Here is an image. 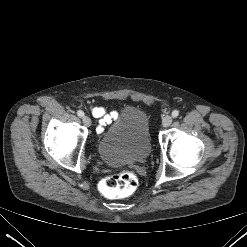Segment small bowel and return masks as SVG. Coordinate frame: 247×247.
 Instances as JSON below:
<instances>
[{"label": "small bowel", "instance_id": "c3829d8e", "mask_svg": "<svg viewBox=\"0 0 247 247\" xmlns=\"http://www.w3.org/2000/svg\"><path fill=\"white\" fill-rule=\"evenodd\" d=\"M91 112L95 118L99 119L100 125L97 128V132L101 134L104 131V127L110 124L112 121L118 118L117 111H108L104 107L94 106L91 108Z\"/></svg>", "mask_w": 247, "mask_h": 247}]
</instances>
